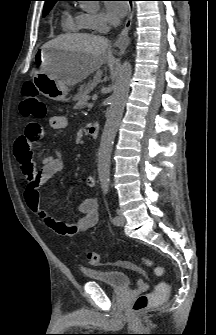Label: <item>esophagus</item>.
I'll use <instances>...</instances> for the list:
<instances>
[{
  "label": "esophagus",
  "instance_id": "esophagus-1",
  "mask_svg": "<svg viewBox=\"0 0 216 335\" xmlns=\"http://www.w3.org/2000/svg\"><path fill=\"white\" fill-rule=\"evenodd\" d=\"M133 15H134V4L130 5L129 14H128V18L125 22V26H124L123 30L121 31V33L119 34L118 38L115 41V46L118 47L121 50H125L130 43V38L128 36V32L131 28Z\"/></svg>",
  "mask_w": 216,
  "mask_h": 335
}]
</instances>
